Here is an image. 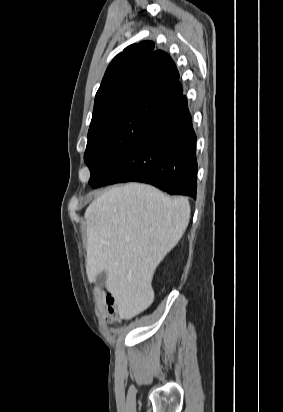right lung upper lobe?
I'll return each mask as SVG.
<instances>
[{"mask_svg":"<svg viewBox=\"0 0 283 412\" xmlns=\"http://www.w3.org/2000/svg\"><path fill=\"white\" fill-rule=\"evenodd\" d=\"M153 49V42L143 41L112 60L96 93L91 122L131 107L164 110L183 93L171 57Z\"/></svg>","mask_w":283,"mask_h":412,"instance_id":"obj_1","label":"right lung upper lobe"}]
</instances>
